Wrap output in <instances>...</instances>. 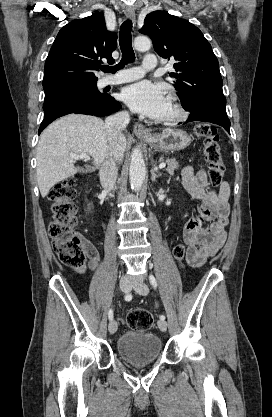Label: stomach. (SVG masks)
I'll return each instance as SVG.
<instances>
[{
  "label": "stomach",
  "instance_id": "stomach-1",
  "mask_svg": "<svg viewBox=\"0 0 272 417\" xmlns=\"http://www.w3.org/2000/svg\"><path fill=\"white\" fill-rule=\"evenodd\" d=\"M142 139L155 150L165 152L183 150L191 143L190 136L181 129H166L160 134H154L151 137Z\"/></svg>",
  "mask_w": 272,
  "mask_h": 417
}]
</instances>
